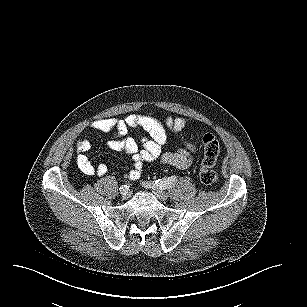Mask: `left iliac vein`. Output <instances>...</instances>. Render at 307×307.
<instances>
[{
  "mask_svg": "<svg viewBox=\"0 0 307 307\" xmlns=\"http://www.w3.org/2000/svg\"><path fill=\"white\" fill-rule=\"evenodd\" d=\"M147 188L152 189L154 194L161 200L166 201L168 199V194L162 191V189L156 187L155 185L146 186Z\"/></svg>",
  "mask_w": 307,
  "mask_h": 307,
  "instance_id": "4c4485c4",
  "label": "left iliac vein"
}]
</instances>
